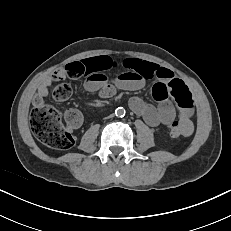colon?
Returning <instances> with one entry per match:
<instances>
[{"label":"colon","instance_id":"colon-1","mask_svg":"<svg viewBox=\"0 0 231 231\" xmlns=\"http://www.w3.org/2000/svg\"><path fill=\"white\" fill-rule=\"evenodd\" d=\"M66 75L69 78L82 76V66L76 62L65 66ZM72 94V88L67 83H61L54 87L52 96L57 101H64ZM82 116L79 111L69 109L64 114L52 106L44 103L34 104L30 113L31 130L35 137L46 146L58 150H68L73 147L75 139L72 129L80 126ZM183 134L178 122L170 126L172 138H178Z\"/></svg>","mask_w":231,"mask_h":231}]
</instances>
